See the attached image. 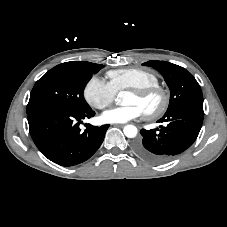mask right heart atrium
I'll return each mask as SVG.
<instances>
[{"label": "right heart atrium", "mask_w": 227, "mask_h": 227, "mask_svg": "<svg viewBox=\"0 0 227 227\" xmlns=\"http://www.w3.org/2000/svg\"><path fill=\"white\" fill-rule=\"evenodd\" d=\"M115 94L111 86L97 76L90 78L83 90L87 103L96 109L108 107L113 102Z\"/></svg>", "instance_id": "obj_1"}]
</instances>
